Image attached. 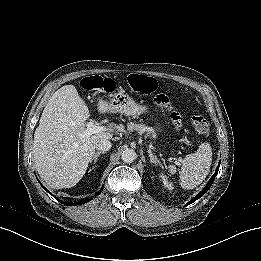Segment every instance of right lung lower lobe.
I'll return each mask as SVG.
<instances>
[{"instance_id": "1", "label": "right lung lower lobe", "mask_w": 261, "mask_h": 261, "mask_svg": "<svg viewBox=\"0 0 261 261\" xmlns=\"http://www.w3.org/2000/svg\"><path fill=\"white\" fill-rule=\"evenodd\" d=\"M44 189L46 190V188H44ZM88 201H89V199H85V200H82V201L77 202V203H72V202L66 203V202H64V204H69V205H81V204L87 203Z\"/></svg>"}]
</instances>
